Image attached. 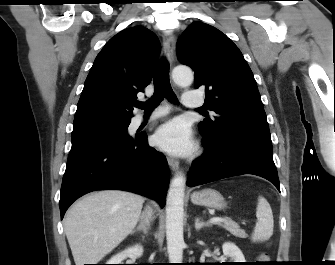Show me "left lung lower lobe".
<instances>
[{"mask_svg": "<svg viewBox=\"0 0 335 265\" xmlns=\"http://www.w3.org/2000/svg\"><path fill=\"white\" fill-rule=\"evenodd\" d=\"M202 136L205 152L192 163L187 182L189 187L254 174L269 180L280 191L271 142L246 135Z\"/></svg>", "mask_w": 335, "mask_h": 265, "instance_id": "1", "label": "left lung lower lobe"}]
</instances>
